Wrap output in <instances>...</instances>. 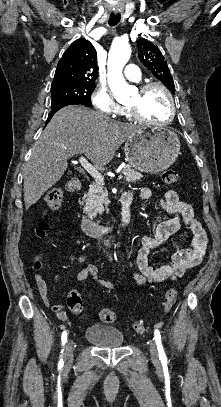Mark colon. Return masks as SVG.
Wrapping results in <instances>:
<instances>
[{
  "label": "colon",
  "mask_w": 221,
  "mask_h": 407,
  "mask_svg": "<svg viewBox=\"0 0 221 407\" xmlns=\"http://www.w3.org/2000/svg\"><path fill=\"white\" fill-rule=\"evenodd\" d=\"M161 180L164 184L171 185L175 184L179 180V172L174 168H169L163 171L161 175ZM63 199V190L60 188L49 189L46 193V203L52 210L59 209ZM46 224L41 223L37 228V234L43 236L45 234ZM40 263V262H39ZM177 290L175 288H169L166 290L164 295V307L163 313L167 314L177 298ZM68 307L75 314H80L83 311V303L78 295L74 293L73 298L68 302ZM100 319L105 323H112L116 320V313L111 309H102L100 311ZM133 330L137 334H143L146 332L147 325L144 321H136L133 324Z\"/></svg>",
  "instance_id": "1"
}]
</instances>
